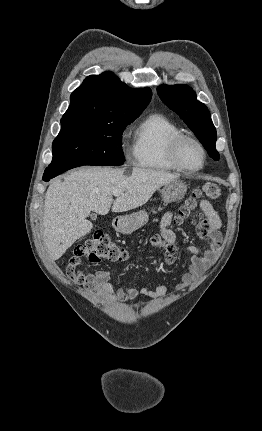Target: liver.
I'll return each mask as SVG.
<instances>
[{
	"instance_id": "obj_1",
	"label": "liver",
	"mask_w": 262,
	"mask_h": 431,
	"mask_svg": "<svg viewBox=\"0 0 262 431\" xmlns=\"http://www.w3.org/2000/svg\"><path fill=\"white\" fill-rule=\"evenodd\" d=\"M179 175L165 171L132 168L83 167L55 179L45 194L43 234L52 260H58L71 245L93 227L87 220L91 211L106 215L126 212L148 202L165 184ZM122 194L113 200V191Z\"/></svg>"
}]
</instances>
